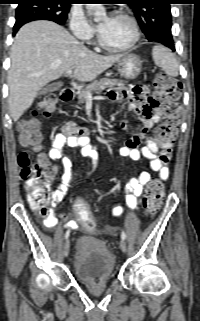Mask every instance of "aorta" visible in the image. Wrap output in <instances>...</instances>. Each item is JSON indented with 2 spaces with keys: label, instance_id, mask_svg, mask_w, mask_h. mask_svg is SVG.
<instances>
[{
  "label": "aorta",
  "instance_id": "aorta-1",
  "mask_svg": "<svg viewBox=\"0 0 200 321\" xmlns=\"http://www.w3.org/2000/svg\"><path fill=\"white\" fill-rule=\"evenodd\" d=\"M87 8L94 13L95 19H99L101 16L105 15V8L102 4H87Z\"/></svg>",
  "mask_w": 200,
  "mask_h": 321
}]
</instances>
